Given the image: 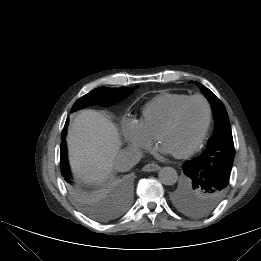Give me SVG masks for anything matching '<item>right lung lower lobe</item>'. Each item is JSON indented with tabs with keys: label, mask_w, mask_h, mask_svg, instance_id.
Instances as JSON below:
<instances>
[{
	"label": "right lung lower lobe",
	"mask_w": 261,
	"mask_h": 261,
	"mask_svg": "<svg viewBox=\"0 0 261 261\" xmlns=\"http://www.w3.org/2000/svg\"><path fill=\"white\" fill-rule=\"evenodd\" d=\"M67 126H68V119L66 120L64 129L62 131V136H61V153H60V166L61 168H66L69 169L68 166V160H67V148H66V142H65V135L67 131Z\"/></svg>",
	"instance_id": "98d812e1"
}]
</instances>
